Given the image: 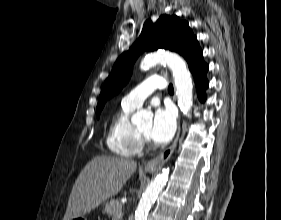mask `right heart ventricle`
<instances>
[{
    "mask_svg": "<svg viewBox=\"0 0 281 220\" xmlns=\"http://www.w3.org/2000/svg\"><path fill=\"white\" fill-rule=\"evenodd\" d=\"M134 110V107L122 101L121 108L112 118L107 134L106 143L109 150L121 157H134L142 151L137 128L130 121Z\"/></svg>",
    "mask_w": 281,
    "mask_h": 220,
    "instance_id": "1",
    "label": "right heart ventricle"
}]
</instances>
